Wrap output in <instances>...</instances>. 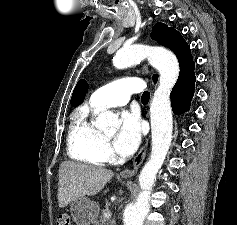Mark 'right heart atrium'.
<instances>
[{"label":"right heart atrium","instance_id":"d8ad5b80","mask_svg":"<svg viewBox=\"0 0 237 225\" xmlns=\"http://www.w3.org/2000/svg\"><path fill=\"white\" fill-rule=\"evenodd\" d=\"M100 152H101V155H102L104 161H111L114 159L113 151H112L111 146L107 140L103 139L101 146H100Z\"/></svg>","mask_w":237,"mask_h":225}]
</instances>
